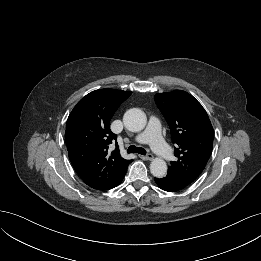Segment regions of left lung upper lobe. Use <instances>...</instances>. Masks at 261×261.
I'll list each match as a JSON object with an SVG mask.
<instances>
[{
  "label": "left lung upper lobe",
  "mask_w": 261,
  "mask_h": 261,
  "mask_svg": "<svg viewBox=\"0 0 261 261\" xmlns=\"http://www.w3.org/2000/svg\"><path fill=\"white\" fill-rule=\"evenodd\" d=\"M156 105L165 117L176 145L168 174L187 184L204 170L213 148L214 131L202 105L185 91L157 93Z\"/></svg>",
  "instance_id": "obj_1"
}]
</instances>
